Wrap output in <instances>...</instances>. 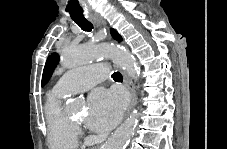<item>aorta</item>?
I'll list each match as a JSON object with an SVG mask.
<instances>
[{
	"instance_id": "1",
	"label": "aorta",
	"mask_w": 227,
	"mask_h": 149,
	"mask_svg": "<svg viewBox=\"0 0 227 149\" xmlns=\"http://www.w3.org/2000/svg\"><path fill=\"white\" fill-rule=\"evenodd\" d=\"M109 57L123 67L128 75L136 79L139 68L135 59L125 49L115 46H75L66 44L61 52V65L71 69L79 65ZM138 122L137 112L134 111L124 123L109 137L104 149H125L130 138L134 135Z\"/></svg>"
}]
</instances>
